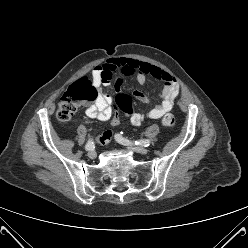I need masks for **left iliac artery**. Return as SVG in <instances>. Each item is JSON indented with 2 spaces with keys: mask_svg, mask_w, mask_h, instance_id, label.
Segmentation results:
<instances>
[{
  "mask_svg": "<svg viewBox=\"0 0 248 248\" xmlns=\"http://www.w3.org/2000/svg\"><path fill=\"white\" fill-rule=\"evenodd\" d=\"M115 139L119 143L124 144V145L131 144V142L128 139L122 137L120 134H116L115 135ZM135 144L136 145H141V146H144V147H148L150 145V140H148V139H141V140L135 141Z\"/></svg>",
  "mask_w": 248,
  "mask_h": 248,
  "instance_id": "1",
  "label": "left iliac artery"
}]
</instances>
